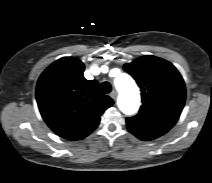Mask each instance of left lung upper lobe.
Returning a JSON list of instances; mask_svg holds the SVG:
<instances>
[{"label":"left lung upper lobe","instance_id":"obj_1","mask_svg":"<svg viewBox=\"0 0 212 183\" xmlns=\"http://www.w3.org/2000/svg\"><path fill=\"white\" fill-rule=\"evenodd\" d=\"M124 70L137 81L143 102L139 113L127 118L129 131L153 137L165 134L178 120L185 102L180 73L170 62L150 55L125 64Z\"/></svg>","mask_w":212,"mask_h":183}]
</instances>
